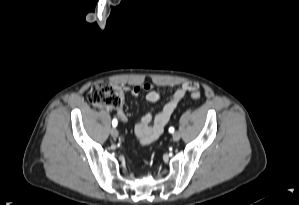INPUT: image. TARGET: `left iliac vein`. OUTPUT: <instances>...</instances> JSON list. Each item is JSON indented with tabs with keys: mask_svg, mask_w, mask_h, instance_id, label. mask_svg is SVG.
I'll return each instance as SVG.
<instances>
[{
	"mask_svg": "<svg viewBox=\"0 0 299 205\" xmlns=\"http://www.w3.org/2000/svg\"><path fill=\"white\" fill-rule=\"evenodd\" d=\"M173 140L175 141V142H177V141H179L180 140V137H181V135H180V133L178 132V131H176V132H174L173 133Z\"/></svg>",
	"mask_w": 299,
	"mask_h": 205,
	"instance_id": "obj_1",
	"label": "left iliac vein"
}]
</instances>
